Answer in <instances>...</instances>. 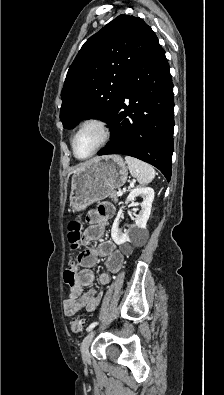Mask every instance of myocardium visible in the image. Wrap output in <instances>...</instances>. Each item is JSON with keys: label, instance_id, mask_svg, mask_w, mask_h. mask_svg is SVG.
<instances>
[{"label": "myocardium", "instance_id": "obj_1", "mask_svg": "<svg viewBox=\"0 0 224 395\" xmlns=\"http://www.w3.org/2000/svg\"><path fill=\"white\" fill-rule=\"evenodd\" d=\"M89 127H95L98 129V131L100 132V140H99L98 144L96 145V147L94 148V150L88 156H86L84 158H80L76 155V152H75V146H74L75 140H76L77 136L83 130H85L86 128H89ZM110 136H111V129H110L109 124L105 120H103L99 117H89V118L83 120L79 124L78 128L76 129L75 133L73 134L72 140H71V148H72L74 157L78 160H87V159L93 157L96 153H98L107 144V142L110 139Z\"/></svg>", "mask_w": 224, "mask_h": 395}]
</instances>
